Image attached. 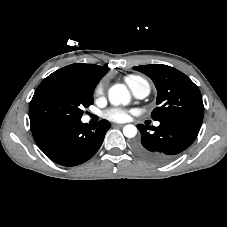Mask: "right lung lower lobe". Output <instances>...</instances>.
<instances>
[{
	"instance_id": "98d812e1",
	"label": "right lung lower lobe",
	"mask_w": 227,
	"mask_h": 227,
	"mask_svg": "<svg viewBox=\"0 0 227 227\" xmlns=\"http://www.w3.org/2000/svg\"><path fill=\"white\" fill-rule=\"evenodd\" d=\"M109 128L110 123L104 120L95 125L77 120L31 131L36 144L49 159L62 166H75L95 155Z\"/></svg>"
}]
</instances>
